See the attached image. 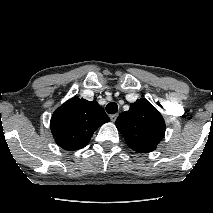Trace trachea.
<instances>
[{"label":"trachea","mask_w":213,"mask_h":213,"mask_svg":"<svg viewBox=\"0 0 213 213\" xmlns=\"http://www.w3.org/2000/svg\"><path fill=\"white\" fill-rule=\"evenodd\" d=\"M106 111L108 114H115L118 111V105L115 102H110L106 106Z\"/></svg>","instance_id":"1"}]
</instances>
